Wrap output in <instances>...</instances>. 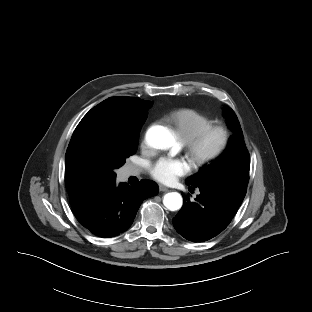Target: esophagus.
<instances>
[{
    "label": "esophagus",
    "instance_id": "obj_1",
    "mask_svg": "<svg viewBox=\"0 0 312 312\" xmlns=\"http://www.w3.org/2000/svg\"><path fill=\"white\" fill-rule=\"evenodd\" d=\"M159 190H160L161 192H167V191H169V189H168L166 186L162 185V184L159 185Z\"/></svg>",
    "mask_w": 312,
    "mask_h": 312
}]
</instances>
